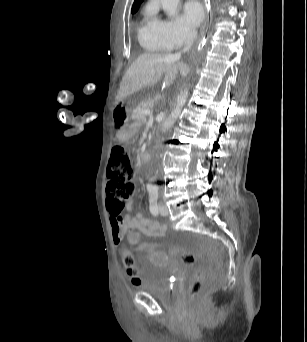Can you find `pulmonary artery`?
I'll return each mask as SVG.
<instances>
[{
    "label": "pulmonary artery",
    "instance_id": "1",
    "mask_svg": "<svg viewBox=\"0 0 307 342\" xmlns=\"http://www.w3.org/2000/svg\"><path fill=\"white\" fill-rule=\"evenodd\" d=\"M150 13H151L150 10L147 9V10H146V14L149 15Z\"/></svg>",
    "mask_w": 307,
    "mask_h": 342
}]
</instances>
